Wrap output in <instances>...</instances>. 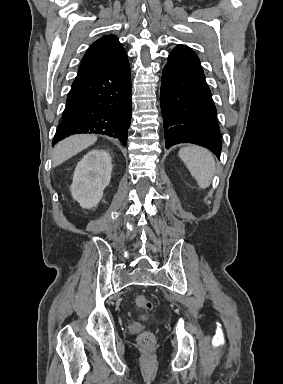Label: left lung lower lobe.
<instances>
[{"label": "left lung lower lobe", "mask_w": 283, "mask_h": 384, "mask_svg": "<svg viewBox=\"0 0 283 384\" xmlns=\"http://www.w3.org/2000/svg\"><path fill=\"white\" fill-rule=\"evenodd\" d=\"M161 81L165 147L193 143L208 148L220 158L217 111L197 55L185 45L175 47Z\"/></svg>", "instance_id": "obj_1"}]
</instances>
